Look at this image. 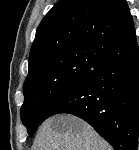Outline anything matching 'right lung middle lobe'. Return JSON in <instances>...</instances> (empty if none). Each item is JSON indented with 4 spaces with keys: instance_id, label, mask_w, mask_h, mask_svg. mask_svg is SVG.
I'll use <instances>...</instances> for the list:
<instances>
[{
    "instance_id": "1",
    "label": "right lung middle lobe",
    "mask_w": 139,
    "mask_h": 150,
    "mask_svg": "<svg viewBox=\"0 0 139 150\" xmlns=\"http://www.w3.org/2000/svg\"><path fill=\"white\" fill-rule=\"evenodd\" d=\"M109 48V45H91L62 51L28 73L23 84L21 120L30 136L42 123L49 106L85 76Z\"/></svg>"
}]
</instances>
